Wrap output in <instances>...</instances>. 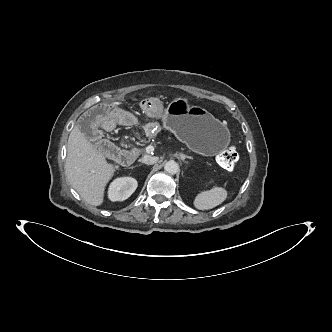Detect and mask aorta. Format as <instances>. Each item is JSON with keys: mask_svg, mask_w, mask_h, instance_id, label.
Here are the masks:
<instances>
[{"mask_svg": "<svg viewBox=\"0 0 332 332\" xmlns=\"http://www.w3.org/2000/svg\"><path fill=\"white\" fill-rule=\"evenodd\" d=\"M164 170L169 174H176L179 170V165L175 161L170 160L165 164Z\"/></svg>", "mask_w": 332, "mask_h": 332, "instance_id": "1", "label": "aorta"}]
</instances>
